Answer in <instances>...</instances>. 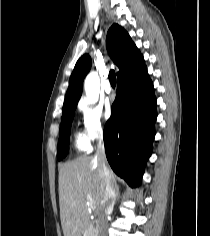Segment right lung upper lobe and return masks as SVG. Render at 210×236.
Wrapping results in <instances>:
<instances>
[{"mask_svg":"<svg viewBox=\"0 0 210 236\" xmlns=\"http://www.w3.org/2000/svg\"><path fill=\"white\" fill-rule=\"evenodd\" d=\"M107 48L113 62L118 66L117 79L135 71L144 64L142 54L132 42L128 33L119 25L114 24L107 33ZM91 58L83 55L76 63L71 74L66 92L63 112L76 108L82 93L84 77L89 72Z\"/></svg>","mask_w":210,"mask_h":236,"instance_id":"obj_1","label":"right lung upper lobe"}]
</instances>
